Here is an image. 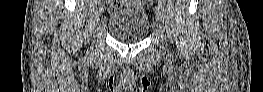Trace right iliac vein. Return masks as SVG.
<instances>
[{
  "instance_id": "63e3f726",
  "label": "right iliac vein",
  "mask_w": 263,
  "mask_h": 92,
  "mask_svg": "<svg viewBox=\"0 0 263 92\" xmlns=\"http://www.w3.org/2000/svg\"><path fill=\"white\" fill-rule=\"evenodd\" d=\"M106 5H107V0L99 1L98 14H101L103 12V6H106Z\"/></svg>"
}]
</instances>
